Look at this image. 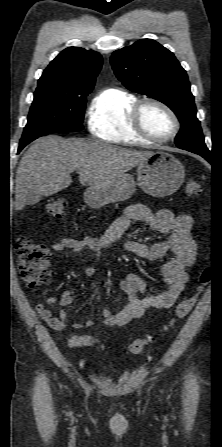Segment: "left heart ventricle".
I'll return each mask as SVG.
<instances>
[{"label":"left heart ventricle","mask_w":222,"mask_h":447,"mask_svg":"<svg viewBox=\"0 0 222 447\" xmlns=\"http://www.w3.org/2000/svg\"><path fill=\"white\" fill-rule=\"evenodd\" d=\"M142 123L145 129L155 137L164 138L173 131L169 115L155 105H146L142 111Z\"/></svg>","instance_id":"left-heart-ventricle-1"}]
</instances>
